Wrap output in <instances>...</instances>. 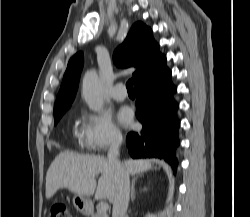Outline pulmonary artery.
I'll list each match as a JSON object with an SVG mask.
<instances>
[{"instance_id":"pulmonary-artery-1","label":"pulmonary artery","mask_w":250,"mask_h":217,"mask_svg":"<svg viewBox=\"0 0 250 217\" xmlns=\"http://www.w3.org/2000/svg\"><path fill=\"white\" fill-rule=\"evenodd\" d=\"M111 97L116 101H123L127 97L125 86L122 83L116 84L110 92Z\"/></svg>"}]
</instances>
